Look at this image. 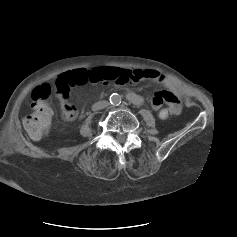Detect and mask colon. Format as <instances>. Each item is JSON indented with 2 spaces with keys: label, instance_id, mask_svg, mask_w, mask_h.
I'll return each mask as SVG.
<instances>
[{
  "label": "colon",
  "instance_id": "obj_1",
  "mask_svg": "<svg viewBox=\"0 0 237 237\" xmlns=\"http://www.w3.org/2000/svg\"><path fill=\"white\" fill-rule=\"evenodd\" d=\"M130 80L129 75L122 70L114 68L80 69L65 73L58 77L53 84L44 83L34 89L31 104L32 112L24 118L23 125L31 138L40 139L49 131L51 126L53 112L49 99L52 95H56L66 101L71 87L75 85H83L89 82L126 84ZM63 110L70 117L75 116L77 113L75 105L67 101ZM173 114L174 110L172 108H164L158 112L161 120H166Z\"/></svg>",
  "mask_w": 237,
  "mask_h": 237
}]
</instances>
